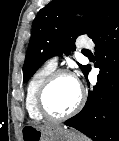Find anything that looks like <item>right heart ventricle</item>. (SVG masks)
Masks as SVG:
<instances>
[{
    "instance_id": "e07e8e85",
    "label": "right heart ventricle",
    "mask_w": 119,
    "mask_h": 141,
    "mask_svg": "<svg viewBox=\"0 0 119 141\" xmlns=\"http://www.w3.org/2000/svg\"><path fill=\"white\" fill-rule=\"evenodd\" d=\"M54 70V66L45 64L33 74L28 82L25 96V108L29 117L33 120L42 121L44 119L36 107V94L44 79Z\"/></svg>"
}]
</instances>
